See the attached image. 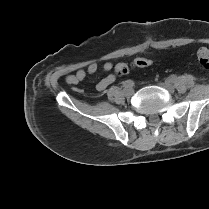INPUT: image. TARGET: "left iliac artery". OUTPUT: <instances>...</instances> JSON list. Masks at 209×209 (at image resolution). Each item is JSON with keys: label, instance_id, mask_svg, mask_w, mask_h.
I'll return each instance as SVG.
<instances>
[{"label": "left iliac artery", "instance_id": "left-iliac-artery-1", "mask_svg": "<svg viewBox=\"0 0 209 209\" xmlns=\"http://www.w3.org/2000/svg\"><path fill=\"white\" fill-rule=\"evenodd\" d=\"M168 82H172L177 84L178 83V77L177 76H171L168 80Z\"/></svg>", "mask_w": 209, "mask_h": 209}]
</instances>
